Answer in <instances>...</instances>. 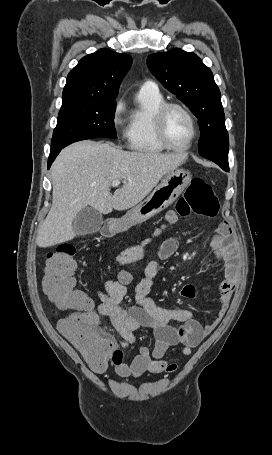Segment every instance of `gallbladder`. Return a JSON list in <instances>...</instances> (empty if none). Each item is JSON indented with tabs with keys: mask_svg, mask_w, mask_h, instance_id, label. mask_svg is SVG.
<instances>
[{
	"mask_svg": "<svg viewBox=\"0 0 272 455\" xmlns=\"http://www.w3.org/2000/svg\"><path fill=\"white\" fill-rule=\"evenodd\" d=\"M102 223L100 212L92 207H85L76 215L72 225L77 235H87L99 231Z\"/></svg>",
	"mask_w": 272,
	"mask_h": 455,
	"instance_id": "gallbladder-1",
	"label": "gallbladder"
}]
</instances>
